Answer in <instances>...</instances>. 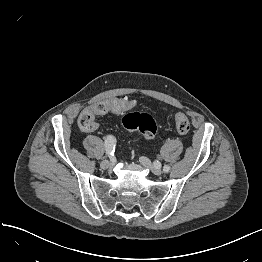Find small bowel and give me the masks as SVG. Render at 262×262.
Wrapping results in <instances>:
<instances>
[{"instance_id":"1","label":"small bowel","mask_w":262,"mask_h":262,"mask_svg":"<svg viewBox=\"0 0 262 262\" xmlns=\"http://www.w3.org/2000/svg\"><path fill=\"white\" fill-rule=\"evenodd\" d=\"M106 113H109V112H105V113H101V114H97V115H104V114H106ZM94 130V129H93Z\"/></svg>"}]
</instances>
